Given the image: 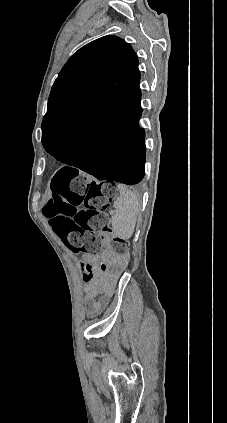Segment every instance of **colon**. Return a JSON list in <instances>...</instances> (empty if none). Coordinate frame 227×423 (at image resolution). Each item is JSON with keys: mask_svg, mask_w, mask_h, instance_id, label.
Masks as SVG:
<instances>
[{"mask_svg": "<svg viewBox=\"0 0 227 423\" xmlns=\"http://www.w3.org/2000/svg\"><path fill=\"white\" fill-rule=\"evenodd\" d=\"M113 197L112 186L91 182L72 170H60L53 177L43 214L66 247L92 254L102 246L99 233L108 230L106 209ZM112 247L119 256L127 251L125 241L118 237L113 239ZM81 271L85 280L92 278L86 263L81 264Z\"/></svg>", "mask_w": 227, "mask_h": 423, "instance_id": "5ec220e1", "label": "colon"}]
</instances>
